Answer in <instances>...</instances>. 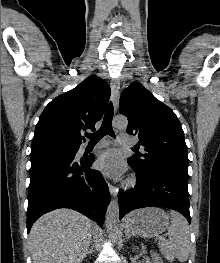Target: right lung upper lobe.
<instances>
[{"label":"right lung upper lobe","instance_id":"right-lung-upper-lobe-1","mask_svg":"<svg viewBox=\"0 0 220 263\" xmlns=\"http://www.w3.org/2000/svg\"><path fill=\"white\" fill-rule=\"evenodd\" d=\"M109 97V85L92 75L54 98L36 125L31 152L79 148L84 140L83 132L95 130V123L102 118Z\"/></svg>","mask_w":220,"mask_h":263}]
</instances>
